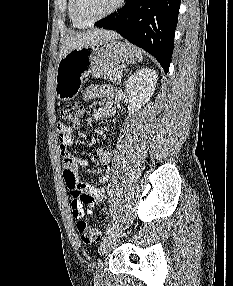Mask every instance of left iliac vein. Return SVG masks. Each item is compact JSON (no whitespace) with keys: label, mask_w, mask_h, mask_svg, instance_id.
Instances as JSON below:
<instances>
[{"label":"left iliac vein","mask_w":233,"mask_h":286,"mask_svg":"<svg viewBox=\"0 0 233 286\" xmlns=\"http://www.w3.org/2000/svg\"><path fill=\"white\" fill-rule=\"evenodd\" d=\"M120 235V228L114 227L104 238L101 246H100V253L105 254L109 248L113 245V243L117 240L118 236Z\"/></svg>","instance_id":"4c4485c4"}]
</instances>
